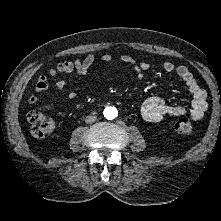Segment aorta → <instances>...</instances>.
<instances>
[{
    "instance_id": "1",
    "label": "aorta",
    "mask_w": 221,
    "mask_h": 221,
    "mask_svg": "<svg viewBox=\"0 0 221 221\" xmlns=\"http://www.w3.org/2000/svg\"><path fill=\"white\" fill-rule=\"evenodd\" d=\"M104 116L108 120H113L118 116V111L115 107H106L104 109Z\"/></svg>"
}]
</instances>
